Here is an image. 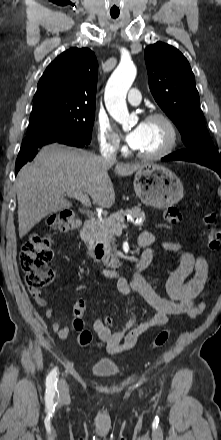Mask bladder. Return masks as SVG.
<instances>
[{"mask_svg":"<svg viewBox=\"0 0 221 440\" xmlns=\"http://www.w3.org/2000/svg\"><path fill=\"white\" fill-rule=\"evenodd\" d=\"M91 372L100 378H112L118 375L120 367L110 359H98L91 366Z\"/></svg>","mask_w":221,"mask_h":440,"instance_id":"31cf9c89","label":"bladder"}]
</instances>
